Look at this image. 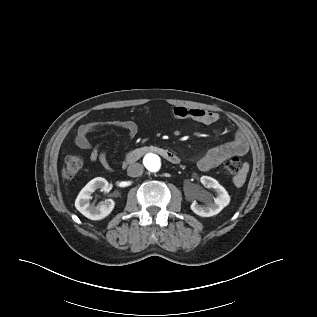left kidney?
<instances>
[{
    "label": "left kidney",
    "instance_id": "left-kidney-1",
    "mask_svg": "<svg viewBox=\"0 0 317 317\" xmlns=\"http://www.w3.org/2000/svg\"><path fill=\"white\" fill-rule=\"evenodd\" d=\"M204 187L214 189L216 197L211 202L204 193L199 197L200 200L206 201L205 205H199L195 200L191 204V210L201 217H211L217 215L224 207L230 203V196L223 186L217 180L209 176H202L200 178Z\"/></svg>",
    "mask_w": 317,
    "mask_h": 317
}]
</instances>
